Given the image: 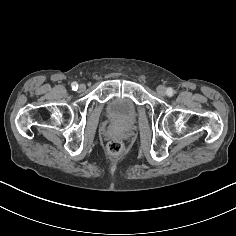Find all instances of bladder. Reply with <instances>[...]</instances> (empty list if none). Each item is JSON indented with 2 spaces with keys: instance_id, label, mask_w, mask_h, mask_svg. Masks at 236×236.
Masks as SVG:
<instances>
[{
  "instance_id": "bladder-1",
  "label": "bladder",
  "mask_w": 236,
  "mask_h": 236,
  "mask_svg": "<svg viewBox=\"0 0 236 236\" xmlns=\"http://www.w3.org/2000/svg\"><path fill=\"white\" fill-rule=\"evenodd\" d=\"M105 115L115 124L130 126L137 119V107L129 97L115 96L108 101Z\"/></svg>"
}]
</instances>
